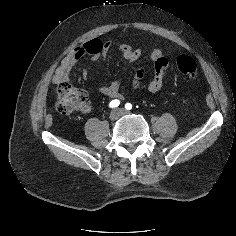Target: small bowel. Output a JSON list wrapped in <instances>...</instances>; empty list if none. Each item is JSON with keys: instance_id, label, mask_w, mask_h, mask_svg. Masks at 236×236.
I'll return each mask as SVG.
<instances>
[{"instance_id": "c3829d8e", "label": "small bowel", "mask_w": 236, "mask_h": 236, "mask_svg": "<svg viewBox=\"0 0 236 236\" xmlns=\"http://www.w3.org/2000/svg\"><path fill=\"white\" fill-rule=\"evenodd\" d=\"M111 46L112 42L110 40L101 41L96 38L91 39L80 46H77L61 61L57 67L53 76V83L58 86L61 84H67L69 82L70 72L76 62L85 57H89L93 61L102 60L107 55ZM119 50L122 54V57L127 62H133L137 60L142 54L141 49L134 48L129 44H121L119 46ZM150 58L153 62L154 75L152 80L149 82L147 89L150 93L154 94L161 90L167 78L168 61L159 48H155L151 51ZM88 77V72L84 71L83 78L87 80ZM98 89L100 93L109 97L110 99L118 100L122 98L117 81L100 85ZM81 111L83 113H89L91 111V105L85 104L81 108Z\"/></svg>"}]
</instances>
